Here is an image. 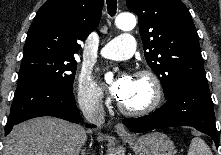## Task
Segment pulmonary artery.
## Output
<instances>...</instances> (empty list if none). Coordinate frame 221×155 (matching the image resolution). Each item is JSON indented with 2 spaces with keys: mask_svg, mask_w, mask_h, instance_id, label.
<instances>
[{
  "mask_svg": "<svg viewBox=\"0 0 221 155\" xmlns=\"http://www.w3.org/2000/svg\"><path fill=\"white\" fill-rule=\"evenodd\" d=\"M135 50L134 37L128 33L121 34L106 44L100 51L101 56L112 60L129 58Z\"/></svg>",
  "mask_w": 221,
  "mask_h": 155,
  "instance_id": "e3ab8cb5",
  "label": "pulmonary artery"
}]
</instances>
